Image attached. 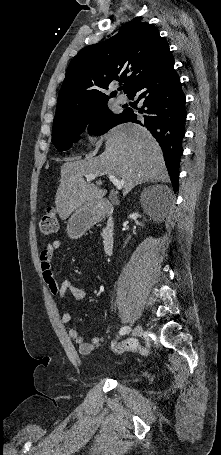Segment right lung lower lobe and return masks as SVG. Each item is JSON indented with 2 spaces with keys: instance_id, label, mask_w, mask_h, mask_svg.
Here are the masks:
<instances>
[{
  "instance_id": "obj_1",
  "label": "right lung lower lobe",
  "mask_w": 221,
  "mask_h": 455,
  "mask_svg": "<svg viewBox=\"0 0 221 455\" xmlns=\"http://www.w3.org/2000/svg\"><path fill=\"white\" fill-rule=\"evenodd\" d=\"M135 95L139 97L137 102H143L139 113L144 118L138 121L134 111L126 109L120 123L132 121L150 130L163 150L165 164L176 192L179 186V162L183 154L186 110L185 95L169 49L139 80L128 96Z\"/></svg>"
}]
</instances>
